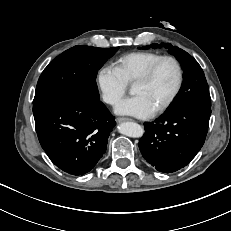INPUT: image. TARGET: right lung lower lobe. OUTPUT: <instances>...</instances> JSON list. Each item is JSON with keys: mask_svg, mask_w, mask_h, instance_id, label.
Instances as JSON below:
<instances>
[{"mask_svg": "<svg viewBox=\"0 0 231 231\" xmlns=\"http://www.w3.org/2000/svg\"><path fill=\"white\" fill-rule=\"evenodd\" d=\"M39 142L50 160L72 175L89 172L107 148L114 117L100 100L51 99L33 106Z\"/></svg>", "mask_w": 231, "mask_h": 231, "instance_id": "right-lung-lower-lobe-1", "label": "right lung lower lobe"}]
</instances>
